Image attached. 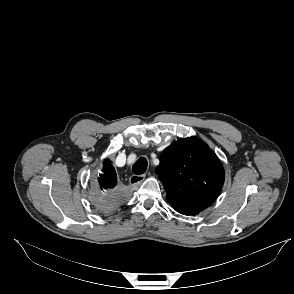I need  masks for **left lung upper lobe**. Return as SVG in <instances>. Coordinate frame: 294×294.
<instances>
[{
    "label": "left lung upper lobe",
    "instance_id": "5c2ea615",
    "mask_svg": "<svg viewBox=\"0 0 294 294\" xmlns=\"http://www.w3.org/2000/svg\"><path fill=\"white\" fill-rule=\"evenodd\" d=\"M156 174L163 182L167 200L184 215H196L209 207L225 178L219 158L197 137L180 139L167 147Z\"/></svg>",
    "mask_w": 294,
    "mask_h": 294
}]
</instances>
